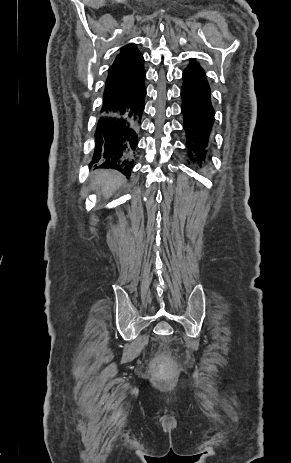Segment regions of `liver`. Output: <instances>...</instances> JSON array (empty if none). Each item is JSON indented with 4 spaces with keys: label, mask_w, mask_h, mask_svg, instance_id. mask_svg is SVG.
Listing matches in <instances>:
<instances>
[{
    "label": "liver",
    "mask_w": 291,
    "mask_h": 463,
    "mask_svg": "<svg viewBox=\"0 0 291 463\" xmlns=\"http://www.w3.org/2000/svg\"><path fill=\"white\" fill-rule=\"evenodd\" d=\"M125 182L126 178L117 171L99 170L94 175L92 188L102 193L105 199H109Z\"/></svg>",
    "instance_id": "1"
}]
</instances>
